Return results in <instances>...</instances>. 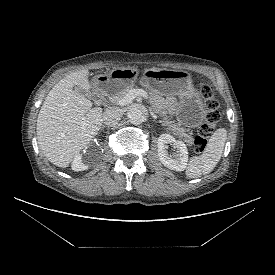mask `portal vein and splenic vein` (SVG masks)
Masks as SVG:
<instances>
[{
  "instance_id": "1",
  "label": "portal vein and splenic vein",
  "mask_w": 275,
  "mask_h": 275,
  "mask_svg": "<svg viewBox=\"0 0 275 275\" xmlns=\"http://www.w3.org/2000/svg\"><path fill=\"white\" fill-rule=\"evenodd\" d=\"M137 96H142L144 98H148V94L146 91L143 89H132L130 90L124 98H122L119 102L118 105H126L128 103H131Z\"/></svg>"
}]
</instances>
